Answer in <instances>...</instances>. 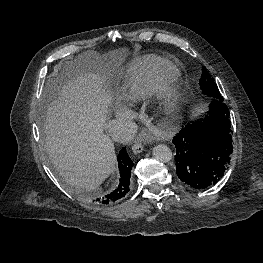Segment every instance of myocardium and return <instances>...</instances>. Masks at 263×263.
Wrapping results in <instances>:
<instances>
[{
  "mask_svg": "<svg viewBox=\"0 0 263 263\" xmlns=\"http://www.w3.org/2000/svg\"><path fill=\"white\" fill-rule=\"evenodd\" d=\"M156 108L162 117L173 118L179 111L182 93L175 76L160 81L153 91Z\"/></svg>",
  "mask_w": 263,
  "mask_h": 263,
  "instance_id": "1",
  "label": "myocardium"
}]
</instances>
